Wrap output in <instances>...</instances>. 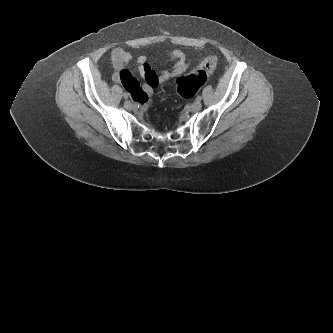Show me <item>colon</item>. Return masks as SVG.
Instances as JSON below:
<instances>
[{"instance_id": "obj_1", "label": "colon", "mask_w": 333, "mask_h": 333, "mask_svg": "<svg viewBox=\"0 0 333 333\" xmlns=\"http://www.w3.org/2000/svg\"><path fill=\"white\" fill-rule=\"evenodd\" d=\"M217 65L216 57H209L188 76L180 77L176 81L177 92L184 98L194 96L207 80V76Z\"/></svg>"}]
</instances>
